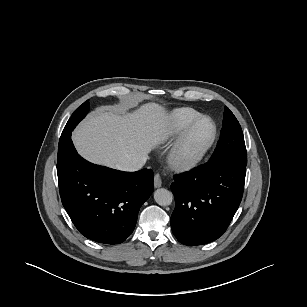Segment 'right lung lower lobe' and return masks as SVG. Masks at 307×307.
Masks as SVG:
<instances>
[{
	"label": "right lung lower lobe",
	"mask_w": 307,
	"mask_h": 307,
	"mask_svg": "<svg viewBox=\"0 0 307 307\" xmlns=\"http://www.w3.org/2000/svg\"><path fill=\"white\" fill-rule=\"evenodd\" d=\"M57 158L62 204L79 232L105 244L125 241L154 191L153 171L130 173L92 164L77 153L71 138Z\"/></svg>",
	"instance_id": "1"
}]
</instances>
